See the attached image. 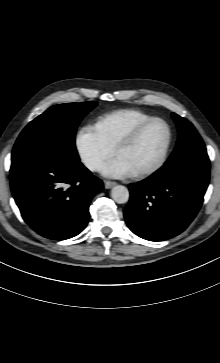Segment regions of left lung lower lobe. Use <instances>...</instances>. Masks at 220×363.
Instances as JSON below:
<instances>
[{
	"mask_svg": "<svg viewBox=\"0 0 220 363\" xmlns=\"http://www.w3.org/2000/svg\"><path fill=\"white\" fill-rule=\"evenodd\" d=\"M209 176L207 152L167 160L144 181L129 185L130 201L124 209L128 227L150 241L180 234L198 213Z\"/></svg>",
	"mask_w": 220,
	"mask_h": 363,
	"instance_id": "0a47b994",
	"label": "left lung lower lobe"
}]
</instances>
